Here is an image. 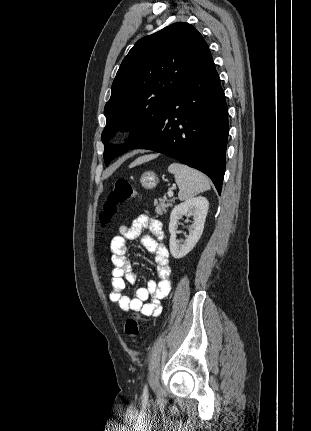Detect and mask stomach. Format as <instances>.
Segmentation results:
<instances>
[{
	"mask_svg": "<svg viewBox=\"0 0 311 431\" xmlns=\"http://www.w3.org/2000/svg\"><path fill=\"white\" fill-rule=\"evenodd\" d=\"M160 180L155 172H143L140 176L139 184L144 190H154L157 188Z\"/></svg>",
	"mask_w": 311,
	"mask_h": 431,
	"instance_id": "0dacf381",
	"label": "stomach"
}]
</instances>
